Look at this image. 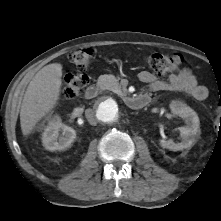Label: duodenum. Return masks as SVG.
I'll return each mask as SVG.
<instances>
[{"instance_id": "obj_1", "label": "duodenum", "mask_w": 221, "mask_h": 221, "mask_svg": "<svg viewBox=\"0 0 221 221\" xmlns=\"http://www.w3.org/2000/svg\"><path fill=\"white\" fill-rule=\"evenodd\" d=\"M99 92L100 86L98 84H92L86 89L85 96L87 99H93L99 94ZM150 101L151 98L148 95L126 97V103L133 109H140L149 104Z\"/></svg>"}]
</instances>
